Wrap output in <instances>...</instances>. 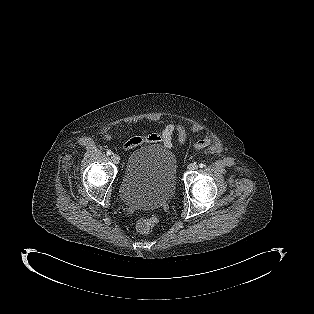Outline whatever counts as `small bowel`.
<instances>
[{
    "instance_id": "small-bowel-1",
    "label": "small bowel",
    "mask_w": 314,
    "mask_h": 314,
    "mask_svg": "<svg viewBox=\"0 0 314 314\" xmlns=\"http://www.w3.org/2000/svg\"><path fill=\"white\" fill-rule=\"evenodd\" d=\"M178 132L179 140L182 144H185L188 140V130L184 125L178 123L167 124L161 132H151L144 136H134L127 140L123 146L124 150H131L141 143H162L164 147H172V138L174 132ZM211 136L206 135V137L200 140L196 145V149H202L211 144Z\"/></svg>"
}]
</instances>
